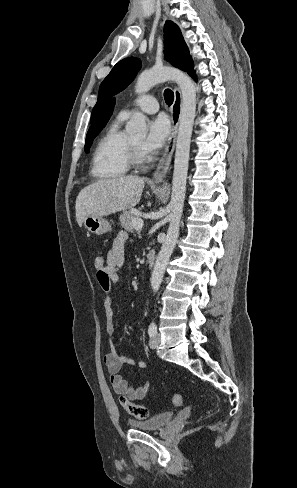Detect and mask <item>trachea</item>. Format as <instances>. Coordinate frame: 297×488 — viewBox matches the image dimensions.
<instances>
[{
    "label": "trachea",
    "mask_w": 297,
    "mask_h": 488,
    "mask_svg": "<svg viewBox=\"0 0 297 488\" xmlns=\"http://www.w3.org/2000/svg\"><path fill=\"white\" fill-rule=\"evenodd\" d=\"M164 99H165V102L168 105H171L173 103V101H174V94H173L172 90L166 89L164 91Z\"/></svg>",
    "instance_id": "3493384b"
}]
</instances>
